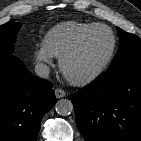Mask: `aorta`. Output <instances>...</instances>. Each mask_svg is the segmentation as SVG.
Returning <instances> with one entry per match:
<instances>
[{
  "label": "aorta",
  "mask_w": 141,
  "mask_h": 141,
  "mask_svg": "<svg viewBox=\"0 0 141 141\" xmlns=\"http://www.w3.org/2000/svg\"><path fill=\"white\" fill-rule=\"evenodd\" d=\"M55 109L56 112L62 116H67L71 114L74 110L72 102L68 99L58 100L56 102Z\"/></svg>",
  "instance_id": "1"
}]
</instances>
